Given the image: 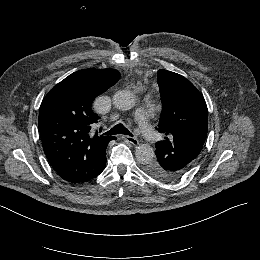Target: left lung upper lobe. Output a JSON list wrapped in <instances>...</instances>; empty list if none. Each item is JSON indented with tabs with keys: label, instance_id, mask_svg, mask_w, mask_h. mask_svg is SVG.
Wrapping results in <instances>:
<instances>
[{
	"label": "left lung upper lobe",
	"instance_id": "5c2ea615",
	"mask_svg": "<svg viewBox=\"0 0 260 260\" xmlns=\"http://www.w3.org/2000/svg\"><path fill=\"white\" fill-rule=\"evenodd\" d=\"M162 112L157 130L164 140L157 142V160L149 164V175L166 181L180 179L197 161L203 148L208 113L201 93L185 77L159 70Z\"/></svg>",
	"mask_w": 260,
	"mask_h": 260
}]
</instances>
